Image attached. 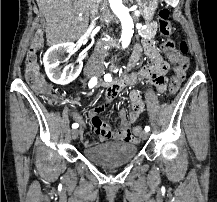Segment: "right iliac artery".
<instances>
[{"label":"right iliac artery","mask_w":217,"mask_h":202,"mask_svg":"<svg viewBox=\"0 0 217 202\" xmlns=\"http://www.w3.org/2000/svg\"><path fill=\"white\" fill-rule=\"evenodd\" d=\"M97 84V77H92L91 80L88 83L89 88H93ZM78 123H73L72 128L76 129L78 128Z\"/></svg>","instance_id":"right-iliac-artery-1"}]
</instances>
